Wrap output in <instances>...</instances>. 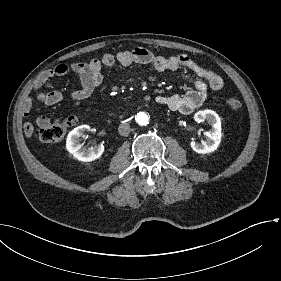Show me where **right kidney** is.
<instances>
[{"mask_svg":"<svg viewBox=\"0 0 281 281\" xmlns=\"http://www.w3.org/2000/svg\"><path fill=\"white\" fill-rule=\"evenodd\" d=\"M90 127L87 125H81L72 130L69 135L68 152L73 155L77 160L82 162H92L99 159L103 152L104 147L100 144H95L89 148L83 147L80 143L81 136L85 134L86 130Z\"/></svg>","mask_w":281,"mask_h":281,"instance_id":"right-kidney-1","label":"right kidney"}]
</instances>
